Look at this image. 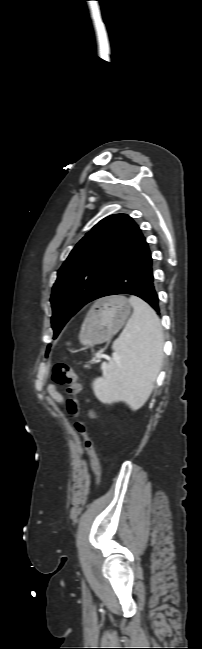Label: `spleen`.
Returning a JSON list of instances; mask_svg holds the SVG:
<instances>
[{
	"instance_id": "3e777b00",
	"label": "spleen",
	"mask_w": 202,
	"mask_h": 649,
	"mask_svg": "<svg viewBox=\"0 0 202 649\" xmlns=\"http://www.w3.org/2000/svg\"><path fill=\"white\" fill-rule=\"evenodd\" d=\"M134 308L125 329L114 341L116 356L101 378L94 380L96 397L105 403L124 400L133 410L148 400L163 357V330L155 311L131 296Z\"/></svg>"
}]
</instances>
